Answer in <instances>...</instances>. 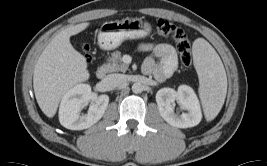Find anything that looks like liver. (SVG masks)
Wrapping results in <instances>:
<instances>
[{
  "mask_svg": "<svg viewBox=\"0 0 267 166\" xmlns=\"http://www.w3.org/2000/svg\"><path fill=\"white\" fill-rule=\"evenodd\" d=\"M89 26L83 22L57 34L41 53L34 69L33 88L37 103L49 118L54 117L63 95L89 79L86 58L70 43V36Z\"/></svg>",
  "mask_w": 267,
  "mask_h": 166,
  "instance_id": "liver-1",
  "label": "liver"
}]
</instances>
